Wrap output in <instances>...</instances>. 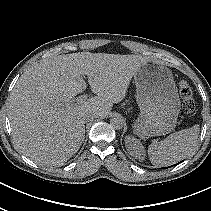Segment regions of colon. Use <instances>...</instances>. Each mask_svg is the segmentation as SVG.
Returning <instances> with one entry per match:
<instances>
[{"instance_id": "colon-1", "label": "colon", "mask_w": 211, "mask_h": 211, "mask_svg": "<svg viewBox=\"0 0 211 211\" xmlns=\"http://www.w3.org/2000/svg\"><path fill=\"white\" fill-rule=\"evenodd\" d=\"M179 94L182 100V107L186 113H191L195 108L194 91L191 85L186 81L179 83Z\"/></svg>"}]
</instances>
